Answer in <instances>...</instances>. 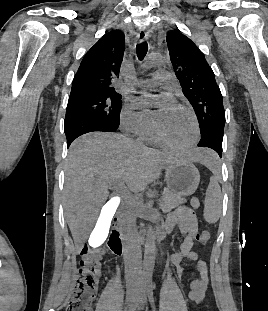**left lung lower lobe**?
<instances>
[{"mask_svg":"<svg viewBox=\"0 0 268 311\" xmlns=\"http://www.w3.org/2000/svg\"><path fill=\"white\" fill-rule=\"evenodd\" d=\"M222 141L223 133H209L201 137L198 146L211 148L216 151L220 157H222Z\"/></svg>","mask_w":268,"mask_h":311,"instance_id":"1","label":"left lung lower lobe"}]
</instances>
